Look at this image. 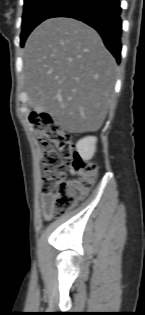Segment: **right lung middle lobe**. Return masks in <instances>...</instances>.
Wrapping results in <instances>:
<instances>
[{
	"mask_svg": "<svg viewBox=\"0 0 145 315\" xmlns=\"http://www.w3.org/2000/svg\"><path fill=\"white\" fill-rule=\"evenodd\" d=\"M65 0H24L21 46L30 32L55 11Z\"/></svg>",
	"mask_w": 145,
	"mask_h": 315,
	"instance_id": "obj_1",
	"label": "right lung middle lobe"
}]
</instances>
